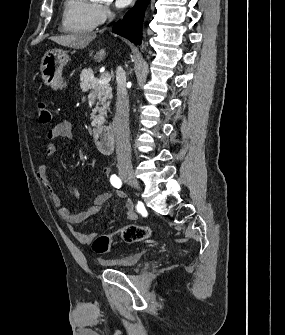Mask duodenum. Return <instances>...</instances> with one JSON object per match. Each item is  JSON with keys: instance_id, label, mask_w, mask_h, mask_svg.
<instances>
[{"instance_id": "duodenum-1", "label": "duodenum", "mask_w": 285, "mask_h": 335, "mask_svg": "<svg viewBox=\"0 0 285 335\" xmlns=\"http://www.w3.org/2000/svg\"><path fill=\"white\" fill-rule=\"evenodd\" d=\"M93 138L98 149L104 154H111L115 148V135L113 130L104 125L93 129Z\"/></svg>"}]
</instances>
